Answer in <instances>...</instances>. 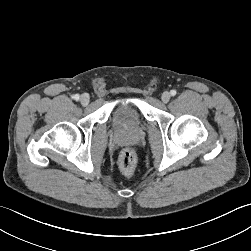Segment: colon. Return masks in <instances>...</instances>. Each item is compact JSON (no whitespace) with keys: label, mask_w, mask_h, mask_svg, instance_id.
<instances>
[{"label":"colon","mask_w":251,"mask_h":251,"mask_svg":"<svg viewBox=\"0 0 251 251\" xmlns=\"http://www.w3.org/2000/svg\"><path fill=\"white\" fill-rule=\"evenodd\" d=\"M136 167V155L131 149H125L119 156V168L126 177H132Z\"/></svg>","instance_id":"1"}]
</instances>
